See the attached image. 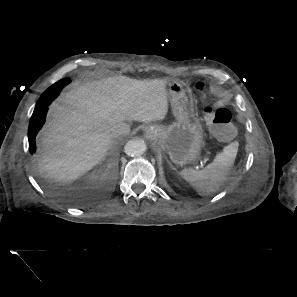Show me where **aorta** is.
<instances>
[{
    "instance_id": "1",
    "label": "aorta",
    "mask_w": 297,
    "mask_h": 297,
    "mask_svg": "<svg viewBox=\"0 0 297 297\" xmlns=\"http://www.w3.org/2000/svg\"><path fill=\"white\" fill-rule=\"evenodd\" d=\"M146 151V144L141 139L129 140L124 146V152L131 157L141 156Z\"/></svg>"
}]
</instances>
